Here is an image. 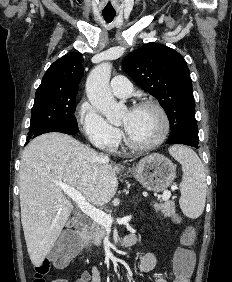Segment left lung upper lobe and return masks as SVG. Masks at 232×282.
<instances>
[{
	"instance_id": "1",
	"label": "left lung upper lobe",
	"mask_w": 232,
	"mask_h": 282,
	"mask_svg": "<svg viewBox=\"0 0 232 282\" xmlns=\"http://www.w3.org/2000/svg\"><path fill=\"white\" fill-rule=\"evenodd\" d=\"M123 68L137 85L159 101L172 131L183 139L198 140L192 82L182 55L163 44L150 42L130 53Z\"/></svg>"
}]
</instances>
